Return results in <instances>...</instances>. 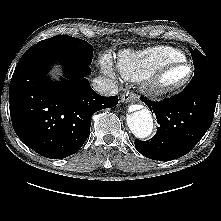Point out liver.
I'll return each mask as SVG.
<instances>
[{
  "instance_id": "obj_1",
  "label": "liver",
  "mask_w": 221,
  "mask_h": 221,
  "mask_svg": "<svg viewBox=\"0 0 221 221\" xmlns=\"http://www.w3.org/2000/svg\"><path fill=\"white\" fill-rule=\"evenodd\" d=\"M58 71V68H56V71L55 72H57Z\"/></svg>"
}]
</instances>
